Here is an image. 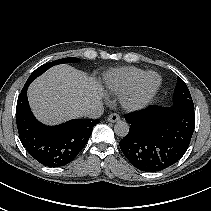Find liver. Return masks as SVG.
<instances>
[{"instance_id":"obj_1","label":"liver","mask_w":211,"mask_h":211,"mask_svg":"<svg viewBox=\"0 0 211 211\" xmlns=\"http://www.w3.org/2000/svg\"><path fill=\"white\" fill-rule=\"evenodd\" d=\"M103 94L96 80L69 65L52 67L28 89L31 109L45 124L82 117L90 105L101 102Z\"/></svg>"}]
</instances>
